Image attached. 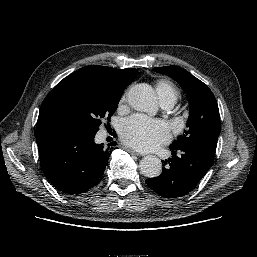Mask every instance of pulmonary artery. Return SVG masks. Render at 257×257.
I'll list each match as a JSON object with an SVG mask.
<instances>
[{
	"label": "pulmonary artery",
	"instance_id": "e3ab8cb5",
	"mask_svg": "<svg viewBox=\"0 0 257 257\" xmlns=\"http://www.w3.org/2000/svg\"><path fill=\"white\" fill-rule=\"evenodd\" d=\"M173 105L174 103L170 101L161 102V106L166 110L171 109Z\"/></svg>",
	"mask_w": 257,
	"mask_h": 257
}]
</instances>
